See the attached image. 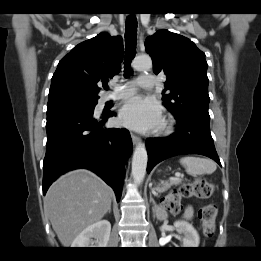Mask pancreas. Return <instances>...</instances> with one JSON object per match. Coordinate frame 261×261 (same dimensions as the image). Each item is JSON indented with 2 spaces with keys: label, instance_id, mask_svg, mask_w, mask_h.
<instances>
[{
  "label": "pancreas",
  "instance_id": "cf45deb5",
  "mask_svg": "<svg viewBox=\"0 0 261 261\" xmlns=\"http://www.w3.org/2000/svg\"><path fill=\"white\" fill-rule=\"evenodd\" d=\"M180 182H181V181L177 182L176 184H178V183H180ZM171 183H172V182H171ZM167 186H168V184H164L163 186H158V187H156L155 190L160 193V192L165 191L166 188H167Z\"/></svg>",
  "mask_w": 261,
  "mask_h": 261
}]
</instances>
